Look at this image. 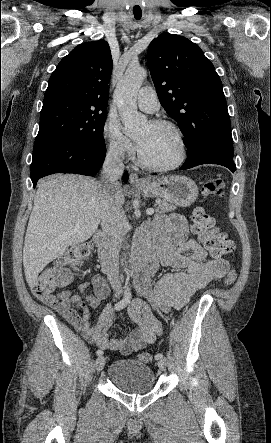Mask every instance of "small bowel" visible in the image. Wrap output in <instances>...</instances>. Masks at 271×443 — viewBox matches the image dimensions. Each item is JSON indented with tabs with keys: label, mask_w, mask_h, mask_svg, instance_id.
I'll return each instance as SVG.
<instances>
[{
	"label": "small bowel",
	"mask_w": 271,
	"mask_h": 443,
	"mask_svg": "<svg viewBox=\"0 0 271 443\" xmlns=\"http://www.w3.org/2000/svg\"><path fill=\"white\" fill-rule=\"evenodd\" d=\"M159 243L151 254V266L147 273L136 281L140 298L128 306V317L135 327L123 337L110 336V328L116 320L111 305L100 315L96 325H90L88 308H94L110 291L109 284L100 275L79 284L77 292H60L42 302L57 311L86 340L101 350L118 351L122 355L143 349L152 344L163 332L158 313L181 309L198 290L221 279L228 271V262L220 257L208 256L203 246L188 231L184 217L170 216L158 233ZM161 265L175 269L163 275L151 287L149 276ZM92 286L93 293L88 287ZM76 308L80 309V313ZM116 310V309H115Z\"/></svg>",
	"instance_id": "obj_1"
}]
</instances>
